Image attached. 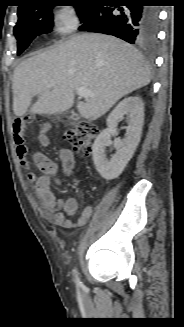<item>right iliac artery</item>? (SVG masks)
I'll return each instance as SVG.
<instances>
[{"mask_svg": "<svg viewBox=\"0 0 184 327\" xmlns=\"http://www.w3.org/2000/svg\"><path fill=\"white\" fill-rule=\"evenodd\" d=\"M74 272H75V277H76V283H77V285H81V282H80L79 277H78V274H77V270L74 269Z\"/></svg>", "mask_w": 184, "mask_h": 327, "instance_id": "1", "label": "right iliac artery"}]
</instances>
